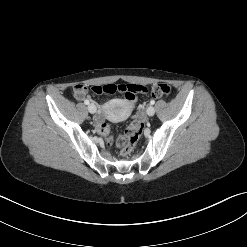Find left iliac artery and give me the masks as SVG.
<instances>
[{
    "label": "left iliac artery",
    "mask_w": 247,
    "mask_h": 247,
    "mask_svg": "<svg viewBox=\"0 0 247 247\" xmlns=\"http://www.w3.org/2000/svg\"><path fill=\"white\" fill-rule=\"evenodd\" d=\"M150 104H151V105H154V104H155V101H154V100H151V101H150Z\"/></svg>",
    "instance_id": "1"
}]
</instances>
